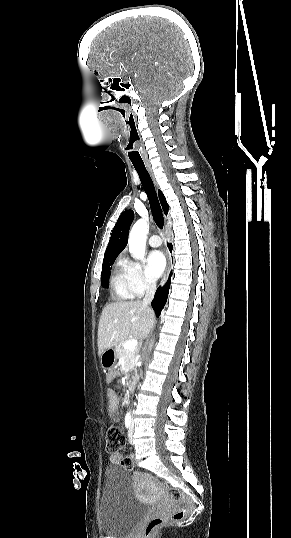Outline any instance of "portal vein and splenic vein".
Segmentation results:
<instances>
[{
    "label": "portal vein and splenic vein",
    "mask_w": 291,
    "mask_h": 538,
    "mask_svg": "<svg viewBox=\"0 0 291 538\" xmlns=\"http://www.w3.org/2000/svg\"><path fill=\"white\" fill-rule=\"evenodd\" d=\"M137 345H138V341L136 339H132L125 342L124 348L128 350H133L137 347Z\"/></svg>",
    "instance_id": "18ae733b"
}]
</instances>
